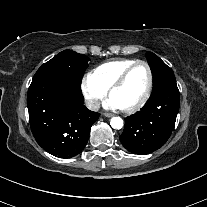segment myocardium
Returning <instances> with one entry per match:
<instances>
[{
  "mask_svg": "<svg viewBox=\"0 0 207 207\" xmlns=\"http://www.w3.org/2000/svg\"><path fill=\"white\" fill-rule=\"evenodd\" d=\"M138 65H143L146 68L147 74H148V84H147V88H146L142 98L136 104H134L128 108H120V110L126 114H131V113H134V112L138 111L139 109H141L146 104V102L148 101V99L151 95L152 88H153V73H152V69H151L150 65L146 61H143V60L134 61L131 65H129L121 73V75L114 81V83L112 84V86L109 89V97L111 98L112 94L116 90H118L120 87H122V85L124 84L125 80L127 79L128 75L132 71V69Z\"/></svg>",
  "mask_w": 207,
  "mask_h": 207,
  "instance_id": "myocardium-1",
  "label": "myocardium"
}]
</instances>
